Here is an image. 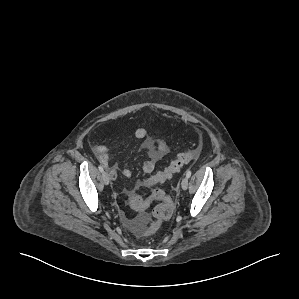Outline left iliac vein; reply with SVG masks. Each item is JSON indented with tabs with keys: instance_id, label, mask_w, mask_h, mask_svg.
I'll return each mask as SVG.
<instances>
[{
	"instance_id": "left-iliac-vein-1",
	"label": "left iliac vein",
	"mask_w": 299,
	"mask_h": 299,
	"mask_svg": "<svg viewBox=\"0 0 299 299\" xmlns=\"http://www.w3.org/2000/svg\"><path fill=\"white\" fill-rule=\"evenodd\" d=\"M181 187L183 190H186L188 188V178L184 177L181 181Z\"/></svg>"
}]
</instances>
